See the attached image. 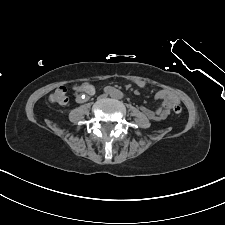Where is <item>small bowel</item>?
Here are the masks:
<instances>
[{"label": "small bowel", "instance_id": "1", "mask_svg": "<svg viewBox=\"0 0 225 225\" xmlns=\"http://www.w3.org/2000/svg\"><path fill=\"white\" fill-rule=\"evenodd\" d=\"M134 83L140 88L146 87V82L142 80L134 81ZM94 93H95V88L92 85V90L90 91L80 90L78 93H76L75 99L77 102L80 103L85 100L87 95H92ZM155 100L157 102V109L155 111H152L145 107L142 108L143 113L149 119H152V120L166 119L170 115V112L173 109V107L179 103L178 97L175 94L165 89H160L159 91H157L155 95Z\"/></svg>", "mask_w": 225, "mask_h": 225}]
</instances>
